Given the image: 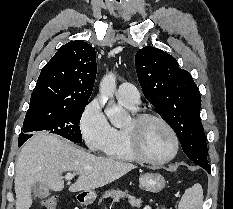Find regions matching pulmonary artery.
Masks as SVG:
<instances>
[{
    "label": "pulmonary artery",
    "mask_w": 233,
    "mask_h": 209,
    "mask_svg": "<svg viewBox=\"0 0 233 209\" xmlns=\"http://www.w3.org/2000/svg\"><path fill=\"white\" fill-rule=\"evenodd\" d=\"M116 95L120 102H123L131 107L137 108L140 104V94L137 88L129 82L120 84Z\"/></svg>",
    "instance_id": "pulmonary-artery-1"
}]
</instances>
